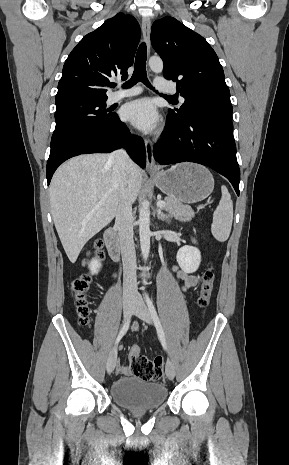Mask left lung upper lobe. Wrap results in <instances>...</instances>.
Segmentation results:
<instances>
[{
    "instance_id": "left-lung-upper-lobe-1",
    "label": "left lung upper lobe",
    "mask_w": 289,
    "mask_h": 465,
    "mask_svg": "<svg viewBox=\"0 0 289 465\" xmlns=\"http://www.w3.org/2000/svg\"><path fill=\"white\" fill-rule=\"evenodd\" d=\"M151 42L163 59L165 78L177 81L185 98L179 109H169L170 114L177 119L203 115L231 120L233 109L222 66L201 35L166 16L153 23Z\"/></svg>"
}]
</instances>
